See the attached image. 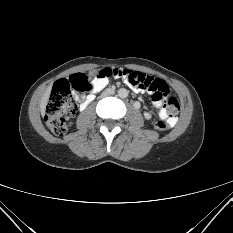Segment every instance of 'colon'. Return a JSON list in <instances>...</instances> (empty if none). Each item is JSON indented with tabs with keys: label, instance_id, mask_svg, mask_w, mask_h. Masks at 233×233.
Instances as JSON below:
<instances>
[{
	"label": "colon",
	"instance_id": "1",
	"mask_svg": "<svg viewBox=\"0 0 233 233\" xmlns=\"http://www.w3.org/2000/svg\"><path fill=\"white\" fill-rule=\"evenodd\" d=\"M98 76L120 78L130 86L150 91L154 101L165 100L164 108L170 118H173L180 110L177 99L168 96L169 90L165 82L129 69L103 68L93 72L90 76L77 73L69 79H61L54 84L45 113V122L53 134L60 136L65 133L67 116L76 111L74 94L91 91L92 78ZM169 126L170 124L163 120L154 124V127L161 131L168 129Z\"/></svg>",
	"mask_w": 233,
	"mask_h": 233
}]
</instances>
